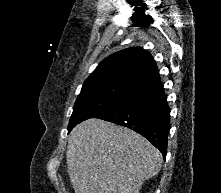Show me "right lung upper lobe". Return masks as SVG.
<instances>
[{"label": "right lung upper lobe", "mask_w": 221, "mask_h": 193, "mask_svg": "<svg viewBox=\"0 0 221 193\" xmlns=\"http://www.w3.org/2000/svg\"><path fill=\"white\" fill-rule=\"evenodd\" d=\"M160 80L153 57L142 48H128L105 58L85 80L82 89L113 83L145 87Z\"/></svg>", "instance_id": "right-lung-upper-lobe-1"}]
</instances>
